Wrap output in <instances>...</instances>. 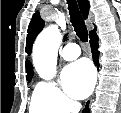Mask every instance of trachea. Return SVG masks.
Returning a JSON list of instances; mask_svg holds the SVG:
<instances>
[{"mask_svg":"<svg viewBox=\"0 0 121 113\" xmlns=\"http://www.w3.org/2000/svg\"><path fill=\"white\" fill-rule=\"evenodd\" d=\"M68 9L70 12L71 22L76 31L77 36L83 42L88 40V31L85 25V22L80 14L77 3L75 0H68Z\"/></svg>","mask_w":121,"mask_h":113,"instance_id":"obj_1","label":"trachea"}]
</instances>
